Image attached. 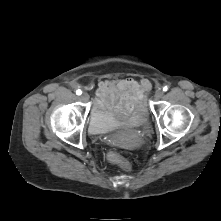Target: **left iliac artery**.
Masks as SVG:
<instances>
[{"instance_id": "1", "label": "left iliac artery", "mask_w": 221, "mask_h": 221, "mask_svg": "<svg viewBox=\"0 0 221 221\" xmlns=\"http://www.w3.org/2000/svg\"><path fill=\"white\" fill-rule=\"evenodd\" d=\"M168 90V87L167 86H164L163 87V91H167Z\"/></svg>"}]
</instances>
